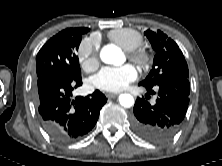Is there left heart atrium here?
Masks as SVG:
<instances>
[{
	"label": "left heart atrium",
	"instance_id": "1",
	"mask_svg": "<svg viewBox=\"0 0 222 166\" xmlns=\"http://www.w3.org/2000/svg\"><path fill=\"white\" fill-rule=\"evenodd\" d=\"M137 77V70L130 64L118 67L107 66L94 75L92 83L103 91L119 92L135 81Z\"/></svg>",
	"mask_w": 222,
	"mask_h": 166
}]
</instances>
